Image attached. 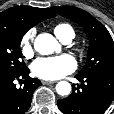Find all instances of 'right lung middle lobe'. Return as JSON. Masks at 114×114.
<instances>
[{
    "mask_svg": "<svg viewBox=\"0 0 114 114\" xmlns=\"http://www.w3.org/2000/svg\"><path fill=\"white\" fill-rule=\"evenodd\" d=\"M26 32L0 27V78L14 76L26 68L20 43Z\"/></svg>",
    "mask_w": 114,
    "mask_h": 114,
    "instance_id": "right-lung-middle-lobe-1",
    "label": "right lung middle lobe"
}]
</instances>
